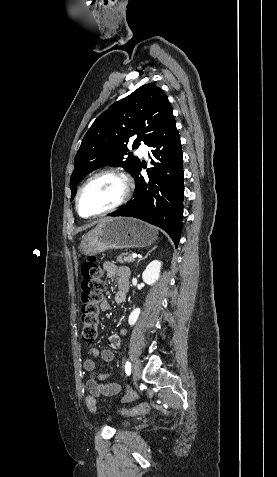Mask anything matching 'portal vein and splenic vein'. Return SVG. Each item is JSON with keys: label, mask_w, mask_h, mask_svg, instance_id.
Listing matches in <instances>:
<instances>
[{"label": "portal vein and splenic vein", "mask_w": 277, "mask_h": 477, "mask_svg": "<svg viewBox=\"0 0 277 477\" xmlns=\"http://www.w3.org/2000/svg\"><path fill=\"white\" fill-rule=\"evenodd\" d=\"M132 256H133L134 258H136V257H137V254H136V253H133Z\"/></svg>", "instance_id": "portal-vein-and-splenic-vein-1"}]
</instances>
